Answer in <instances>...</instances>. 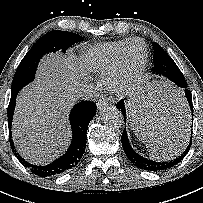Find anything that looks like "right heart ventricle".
<instances>
[{"mask_svg": "<svg viewBox=\"0 0 203 203\" xmlns=\"http://www.w3.org/2000/svg\"><path fill=\"white\" fill-rule=\"evenodd\" d=\"M129 41L126 39L84 49L81 53L83 69L88 73L108 75Z\"/></svg>", "mask_w": 203, "mask_h": 203, "instance_id": "obj_1", "label": "right heart ventricle"}]
</instances>
